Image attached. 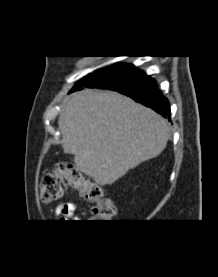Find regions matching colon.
I'll return each instance as SVG.
<instances>
[{
    "label": "colon",
    "mask_w": 218,
    "mask_h": 277,
    "mask_svg": "<svg viewBox=\"0 0 218 277\" xmlns=\"http://www.w3.org/2000/svg\"><path fill=\"white\" fill-rule=\"evenodd\" d=\"M67 186L78 190L92 204L91 213L95 222H102L101 220L110 219L115 215V206L110 199L103 196L101 187L85 178L77 167L63 162L57 163L42 177V202L49 204L59 200Z\"/></svg>",
    "instance_id": "colon-1"
}]
</instances>
